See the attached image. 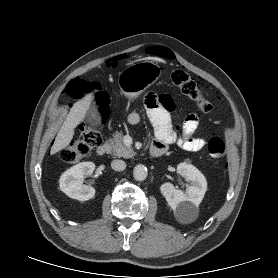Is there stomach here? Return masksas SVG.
I'll return each mask as SVG.
<instances>
[{
    "label": "stomach",
    "mask_w": 278,
    "mask_h": 278,
    "mask_svg": "<svg viewBox=\"0 0 278 278\" xmlns=\"http://www.w3.org/2000/svg\"><path fill=\"white\" fill-rule=\"evenodd\" d=\"M161 74L157 63L148 60L138 61L119 73L118 85L126 97L135 99L154 84Z\"/></svg>",
    "instance_id": "obj_1"
}]
</instances>
